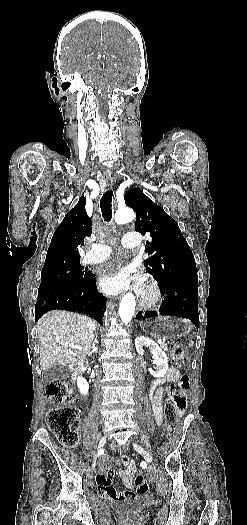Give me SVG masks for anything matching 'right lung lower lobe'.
I'll return each instance as SVG.
<instances>
[{"instance_id": "98d812e1", "label": "right lung lower lobe", "mask_w": 247, "mask_h": 525, "mask_svg": "<svg viewBox=\"0 0 247 525\" xmlns=\"http://www.w3.org/2000/svg\"><path fill=\"white\" fill-rule=\"evenodd\" d=\"M55 309L84 313L102 323L103 297L97 291L95 277L91 276L77 287L57 288L39 294L35 306V321L47 311Z\"/></svg>"}]
</instances>
